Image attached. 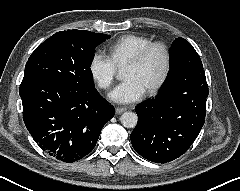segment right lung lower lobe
Wrapping results in <instances>:
<instances>
[{"mask_svg":"<svg viewBox=\"0 0 240 191\" xmlns=\"http://www.w3.org/2000/svg\"><path fill=\"white\" fill-rule=\"evenodd\" d=\"M19 94L24 123L35 142L67 163L88 155L114 116L95 88L83 91L52 80H22Z\"/></svg>","mask_w":240,"mask_h":191,"instance_id":"obj_1","label":"right lung lower lobe"}]
</instances>
